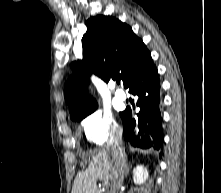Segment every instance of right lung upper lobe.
<instances>
[{
    "label": "right lung upper lobe",
    "mask_w": 221,
    "mask_h": 193,
    "mask_svg": "<svg viewBox=\"0 0 221 193\" xmlns=\"http://www.w3.org/2000/svg\"><path fill=\"white\" fill-rule=\"evenodd\" d=\"M86 25L83 60L72 63L73 76L65 84L64 94L72 119L97 108L96 101L86 91L90 74L105 82L119 77L124 87H128L132 76L152 59L143 41L118 19L101 15L89 18Z\"/></svg>",
    "instance_id": "right-lung-upper-lobe-1"
}]
</instances>
